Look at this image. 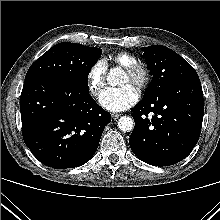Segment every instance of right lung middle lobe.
I'll list each match as a JSON object with an SVG mask.
<instances>
[{
	"mask_svg": "<svg viewBox=\"0 0 220 220\" xmlns=\"http://www.w3.org/2000/svg\"><path fill=\"white\" fill-rule=\"evenodd\" d=\"M102 54V49L69 42L51 47L29 68L25 80L35 77L83 79L88 82L91 68Z\"/></svg>",
	"mask_w": 220,
	"mask_h": 220,
	"instance_id": "obj_1",
	"label": "right lung middle lobe"
}]
</instances>
